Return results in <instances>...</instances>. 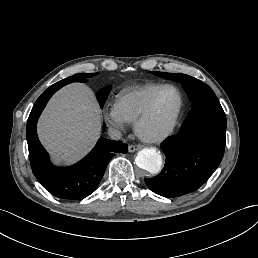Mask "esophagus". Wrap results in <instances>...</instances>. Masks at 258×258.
<instances>
[{
	"label": "esophagus",
	"instance_id": "esophagus-1",
	"mask_svg": "<svg viewBox=\"0 0 258 258\" xmlns=\"http://www.w3.org/2000/svg\"><path fill=\"white\" fill-rule=\"evenodd\" d=\"M141 147L142 146L140 144L129 145L128 150H129V152H135V151L141 149Z\"/></svg>",
	"mask_w": 258,
	"mask_h": 258
}]
</instances>
